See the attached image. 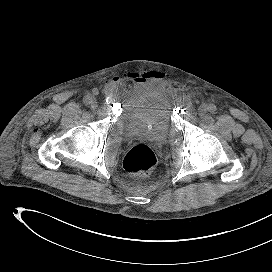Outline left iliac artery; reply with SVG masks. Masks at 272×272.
I'll return each instance as SVG.
<instances>
[{
  "label": "left iliac artery",
  "mask_w": 272,
  "mask_h": 272,
  "mask_svg": "<svg viewBox=\"0 0 272 272\" xmlns=\"http://www.w3.org/2000/svg\"><path fill=\"white\" fill-rule=\"evenodd\" d=\"M208 109H209V112L215 113L217 110V107L214 104H210Z\"/></svg>",
  "instance_id": "44dca946"
}]
</instances>
